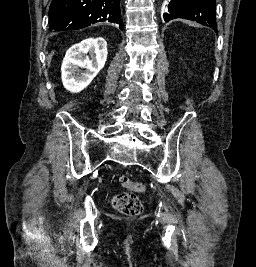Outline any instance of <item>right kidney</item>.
<instances>
[{
  "label": "right kidney",
  "mask_w": 256,
  "mask_h": 267,
  "mask_svg": "<svg viewBox=\"0 0 256 267\" xmlns=\"http://www.w3.org/2000/svg\"><path fill=\"white\" fill-rule=\"evenodd\" d=\"M107 54L104 38H87L80 44L71 46L61 66L64 88L73 94L82 92L104 68Z\"/></svg>",
  "instance_id": "right-kidney-1"
}]
</instances>
